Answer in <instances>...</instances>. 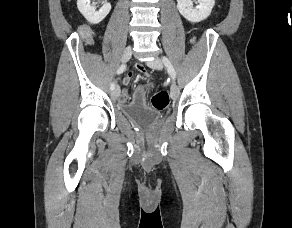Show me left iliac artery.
<instances>
[{
    "instance_id": "obj_1",
    "label": "left iliac artery",
    "mask_w": 292,
    "mask_h": 228,
    "mask_svg": "<svg viewBox=\"0 0 292 228\" xmlns=\"http://www.w3.org/2000/svg\"><path fill=\"white\" fill-rule=\"evenodd\" d=\"M162 61H163L164 65L166 66L169 75L171 76L172 80L174 81L176 78V73H175V70H174L172 63L165 56L162 57Z\"/></svg>"
}]
</instances>
